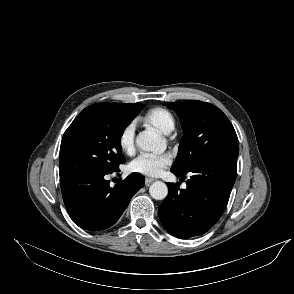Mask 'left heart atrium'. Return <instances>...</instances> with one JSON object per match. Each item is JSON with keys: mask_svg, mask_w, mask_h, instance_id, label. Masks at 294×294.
<instances>
[{"mask_svg": "<svg viewBox=\"0 0 294 294\" xmlns=\"http://www.w3.org/2000/svg\"><path fill=\"white\" fill-rule=\"evenodd\" d=\"M170 164L171 157L168 154H141L129 163L128 168L131 172L155 177L159 176Z\"/></svg>", "mask_w": 294, "mask_h": 294, "instance_id": "obj_1", "label": "left heart atrium"}]
</instances>
